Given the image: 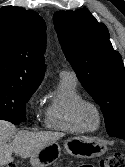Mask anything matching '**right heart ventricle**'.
I'll list each match as a JSON object with an SVG mask.
<instances>
[{
	"label": "right heart ventricle",
	"mask_w": 125,
	"mask_h": 167,
	"mask_svg": "<svg viewBox=\"0 0 125 167\" xmlns=\"http://www.w3.org/2000/svg\"><path fill=\"white\" fill-rule=\"evenodd\" d=\"M81 100L83 97L77 88L76 79L61 77L46 106L44 126L66 133L82 132L83 129L74 117V108Z\"/></svg>",
	"instance_id": "1"
}]
</instances>
